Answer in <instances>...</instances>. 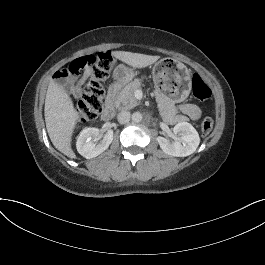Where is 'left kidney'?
I'll return each mask as SVG.
<instances>
[{
  "mask_svg": "<svg viewBox=\"0 0 265 265\" xmlns=\"http://www.w3.org/2000/svg\"><path fill=\"white\" fill-rule=\"evenodd\" d=\"M156 140L163 153L173 157H187L192 155L198 148L200 142L198 132L187 122L178 123L173 128L171 140L162 136H158Z\"/></svg>",
  "mask_w": 265,
  "mask_h": 265,
  "instance_id": "obj_1",
  "label": "left kidney"
}]
</instances>
